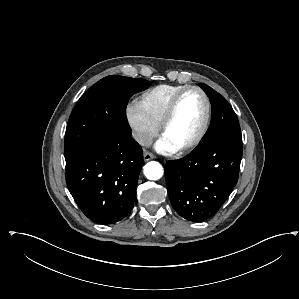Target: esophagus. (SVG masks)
Instances as JSON below:
<instances>
[{"instance_id":"1","label":"esophagus","mask_w":299,"mask_h":299,"mask_svg":"<svg viewBox=\"0 0 299 299\" xmlns=\"http://www.w3.org/2000/svg\"><path fill=\"white\" fill-rule=\"evenodd\" d=\"M143 157L144 161H149L155 158V156L150 152H145Z\"/></svg>"}]
</instances>
